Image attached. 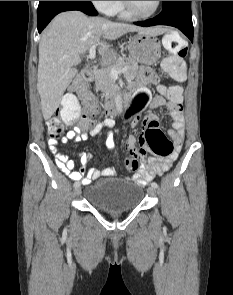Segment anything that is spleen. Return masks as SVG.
<instances>
[{
    "mask_svg": "<svg viewBox=\"0 0 233 295\" xmlns=\"http://www.w3.org/2000/svg\"><path fill=\"white\" fill-rule=\"evenodd\" d=\"M175 37L170 36V35H166L163 39L164 44L169 48V50L171 49V42L174 40ZM179 43H181V41H178Z\"/></svg>",
    "mask_w": 233,
    "mask_h": 295,
    "instance_id": "1",
    "label": "spleen"
}]
</instances>
